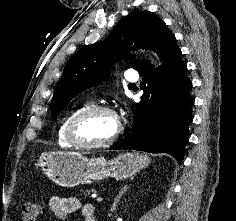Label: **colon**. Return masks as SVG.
<instances>
[{"label": "colon", "mask_w": 236, "mask_h": 221, "mask_svg": "<svg viewBox=\"0 0 236 221\" xmlns=\"http://www.w3.org/2000/svg\"><path fill=\"white\" fill-rule=\"evenodd\" d=\"M41 213L42 207L35 201H25L21 206L22 221H37Z\"/></svg>", "instance_id": "1"}]
</instances>
